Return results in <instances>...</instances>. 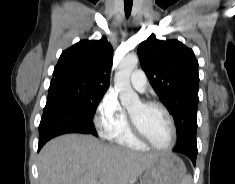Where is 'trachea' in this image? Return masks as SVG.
Instances as JSON below:
<instances>
[{"label":"trachea","mask_w":235,"mask_h":184,"mask_svg":"<svg viewBox=\"0 0 235 184\" xmlns=\"http://www.w3.org/2000/svg\"><path fill=\"white\" fill-rule=\"evenodd\" d=\"M132 1L133 0H124L125 15L127 18L129 17V15L131 13Z\"/></svg>","instance_id":"1"}]
</instances>
